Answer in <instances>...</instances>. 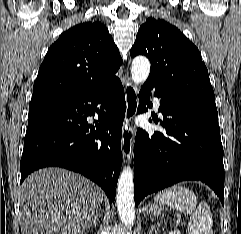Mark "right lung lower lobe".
Returning <instances> with one entry per match:
<instances>
[{"label": "right lung lower lobe", "instance_id": "1", "mask_svg": "<svg viewBox=\"0 0 241 234\" xmlns=\"http://www.w3.org/2000/svg\"><path fill=\"white\" fill-rule=\"evenodd\" d=\"M124 99L121 81L115 77L88 95L29 109L21 182L40 168L63 167L88 177L114 201L122 160ZM95 114L98 120L92 126L87 118Z\"/></svg>", "mask_w": 241, "mask_h": 234}]
</instances>
